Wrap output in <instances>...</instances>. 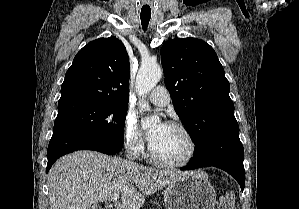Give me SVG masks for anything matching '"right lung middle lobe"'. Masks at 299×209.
Returning a JSON list of instances; mask_svg holds the SVG:
<instances>
[{"instance_id": "right-lung-middle-lobe-1", "label": "right lung middle lobe", "mask_w": 299, "mask_h": 209, "mask_svg": "<svg viewBox=\"0 0 299 209\" xmlns=\"http://www.w3.org/2000/svg\"><path fill=\"white\" fill-rule=\"evenodd\" d=\"M127 105L102 102L58 104L54 129L70 128L123 142Z\"/></svg>"}]
</instances>
